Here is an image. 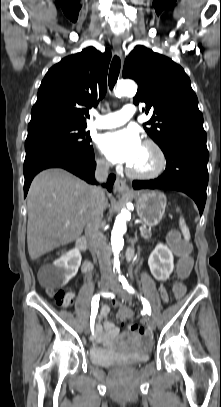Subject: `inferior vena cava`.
<instances>
[{
  "mask_svg": "<svg viewBox=\"0 0 221 407\" xmlns=\"http://www.w3.org/2000/svg\"><path fill=\"white\" fill-rule=\"evenodd\" d=\"M109 163L98 161L95 171V178L98 182L103 183L107 180ZM105 192L101 186L91 187L92 209L88 222L85 226V235L91 247L97 254L100 270L103 274L111 271L110 256L111 251L106 243V239L100 230L103 218Z\"/></svg>",
  "mask_w": 221,
  "mask_h": 407,
  "instance_id": "1",
  "label": "inferior vena cava"
}]
</instances>
